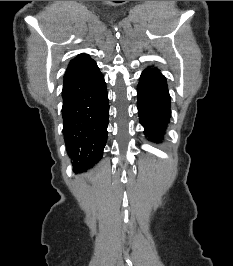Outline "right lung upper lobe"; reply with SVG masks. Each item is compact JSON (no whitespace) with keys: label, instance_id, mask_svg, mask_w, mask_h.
Listing matches in <instances>:
<instances>
[{"label":"right lung upper lobe","instance_id":"right-lung-upper-lobe-1","mask_svg":"<svg viewBox=\"0 0 233 266\" xmlns=\"http://www.w3.org/2000/svg\"><path fill=\"white\" fill-rule=\"evenodd\" d=\"M88 57L89 56L87 54H84V53L78 55L76 58H74L73 60L70 61L67 70L72 69L75 66L79 65L80 63H82Z\"/></svg>","mask_w":233,"mask_h":266}]
</instances>
